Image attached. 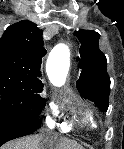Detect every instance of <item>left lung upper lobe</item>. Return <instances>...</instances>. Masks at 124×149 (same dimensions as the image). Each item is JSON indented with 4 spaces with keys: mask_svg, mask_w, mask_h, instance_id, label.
I'll use <instances>...</instances> for the list:
<instances>
[{
    "mask_svg": "<svg viewBox=\"0 0 124 149\" xmlns=\"http://www.w3.org/2000/svg\"><path fill=\"white\" fill-rule=\"evenodd\" d=\"M81 43L80 77L76 85L82 97L93 101L103 112L109 106L110 78L105 55L98 47L100 35L92 30L75 31Z\"/></svg>",
    "mask_w": 124,
    "mask_h": 149,
    "instance_id": "left-lung-upper-lobe-1",
    "label": "left lung upper lobe"
}]
</instances>
